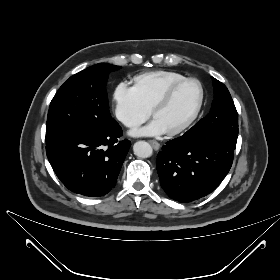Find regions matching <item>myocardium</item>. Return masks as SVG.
Wrapping results in <instances>:
<instances>
[{"mask_svg":"<svg viewBox=\"0 0 280 280\" xmlns=\"http://www.w3.org/2000/svg\"><path fill=\"white\" fill-rule=\"evenodd\" d=\"M186 83H195L198 85V88H199L198 101H197L196 106H195L192 114L190 115V117L182 125L178 126L177 128L169 130V131H165L164 133L166 135L175 136V135H178V134L184 132L186 129H188L194 123V121L197 119V117L201 111L203 101H204V94H205L204 88H203L202 83L198 79L190 77V78H184L182 80L174 82L173 84L168 86L167 89L163 92V94L153 104V106L151 108V116L154 118L156 111L158 109L162 108L163 106H165L169 102V100L171 99L175 90L178 87H180Z\"/></svg>","mask_w":280,"mask_h":280,"instance_id":"obj_1","label":"myocardium"}]
</instances>
